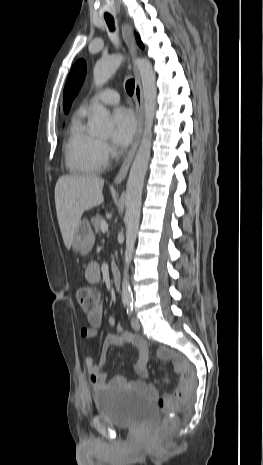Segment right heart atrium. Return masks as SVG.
Here are the masks:
<instances>
[{"label": "right heart atrium", "instance_id": "1", "mask_svg": "<svg viewBox=\"0 0 263 465\" xmlns=\"http://www.w3.org/2000/svg\"><path fill=\"white\" fill-rule=\"evenodd\" d=\"M100 150H101V154L102 156L104 157V159L106 160L110 154H111V148L110 146L104 142V141H101L100 143Z\"/></svg>", "mask_w": 263, "mask_h": 465}]
</instances>
